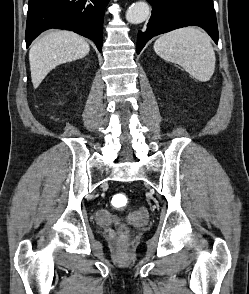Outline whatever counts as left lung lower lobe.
<instances>
[{
  "label": "left lung lower lobe",
  "mask_w": 249,
  "mask_h": 294,
  "mask_svg": "<svg viewBox=\"0 0 249 294\" xmlns=\"http://www.w3.org/2000/svg\"><path fill=\"white\" fill-rule=\"evenodd\" d=\"M147 1L152 5V15L146 31L138 32V54L152 37L189 25L202 27L215 43H218V28L213 0Z\"/></svg>",
  "instance_id": "obj_1"
}]
</instances>
